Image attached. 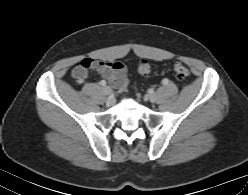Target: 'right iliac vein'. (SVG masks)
Masks as SVG:
<instances>
[{
  "label": "right iliac vein",
  "mask_w": 248,
  "mask_h": 195,
  "mask_svg": "<svg viewBox=\"0 0 248 195\" xmlns=\"http://www.w3.org/2000/svg\"><path fill=\"white\" fill-rule=\"evenodd\" d=\"M103 92L105 95H110L112 93V89L109 86H104Z\"/></svg>",
  "instance_id": "1"
}]
</instances>
